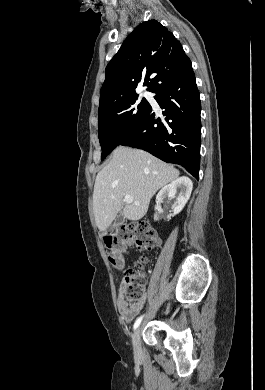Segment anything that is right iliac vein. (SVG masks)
<instances>
[{
	"mask_svg": "<svg viewBox=\"0 0 265 390\" xmlns=\"http://www.w3.org/2000/svg\"><path fill=\"white\" fill-rule=\"evenodd\" d=\"M132 344H133V350L135 355L139 356L141 355L142 348H141V341H140V328H138L133 336H132Z\"/></svg>",
	"mask_w": 265,
	"mask_h": 390,
	"instance_id": "1",
	"label": "right iliac vein"
}]
</instances>
